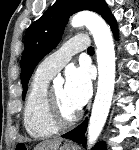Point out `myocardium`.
<instances>
[{"instance_id":"f54148a6","label":"myocardium","mask_w":139,"mask_h":150,"mask_svg":"<svg viewBox=\"0 0 139 150\" xmlns=\"http://www.w3.org/2000/svg\"><path fill=\"white\" fill-rule=\"evenodd\" d=\"M45 113L48 121L57 129L68 128L74 125L80 117L79 111H77L70 118L63 117L58 107V104L53 96L52 89H47L46 92Z\"/></svg>"}]
</instances>
